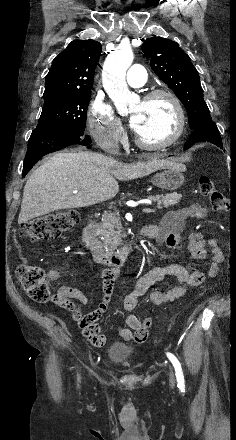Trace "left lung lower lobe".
Listing matches in <instances>:
<instances>
[{
	"label": "left lung lower lobe",
	"instance_id": "left-lung-lower-lobe-1",
	"mask_svg": "<svg viewBox=\"0 0 236 440\" xmlns=\"http://www.w3.org/2000/svg\"><path fill=\"white\" fill-rule=\"evenodd\" d=\"M197 142H211L221 149L223 148L222 139L218 129L214 126L212 121H208L202 124L197 129L193 130V133L189 137V140L185 144V149L189 148Z\"/></svg>",
	"mask_w": 236,
	"mask_h": 440
}]
</instances>
